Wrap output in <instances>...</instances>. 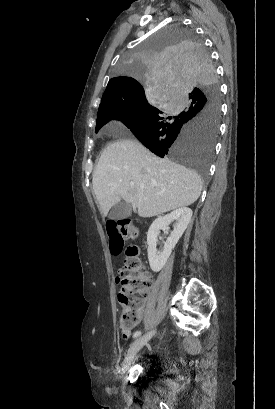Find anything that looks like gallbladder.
Returning a JSON list of instances; mask_svg holds the SVG:
<instances>
[{"mask_svg":"<svg viewBox=\"0 0 275 409\" xmlns=\"http://www.w3.org/2000/svg\"><path fill=\"white\" fill-rule=\"evenodd\" d=\"M131 215V205L129 202H117L109 213V219L113 221H121V219H127Z\"/></svg>","mask_w":275,"mask_h":409,"instance_id":"bac80fb5","label":"gallbladder"}]
</instances>
